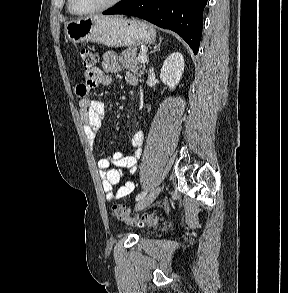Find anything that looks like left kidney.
<instances>
[{
    "label": "left kidney",
    "mask_w": 288,
    "mask_h": 293,
    "mask_svg": "<svg viewBox=\"0 0 288 293\" xmlns=\"http://www.w3.org/2000/svg\"><path fill=\"white\" fill-rule=\"evenodd\" d=\"M183 71V55L181 53L174 52L164 61L160 72V78L162 82L169 87L170 90H173L181 80Z\"/></svg>",
    "instance_id": "obj_1"
}]
</instances>
